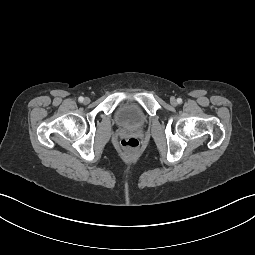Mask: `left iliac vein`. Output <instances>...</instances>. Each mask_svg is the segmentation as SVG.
I'll list each match as a JSON object with an SVG mask.
<instances>
[{
	"instance_id": "obj_1",
	"label": "left iliac vein",
	"mask_w": 255,
	"mask_h": 255,
	"mask_svg": "<svg viewBox=\"0 0 255 255\" xmlns=\"http://www.w3.org/2000/svg\"><path fill=\"white\" fill-rule=\"evenodd\" d=\"M170 103H171L173 106H175V105H177V100H176L175 98H171V99H170Z\"/></svg>"
}]
</instances>
